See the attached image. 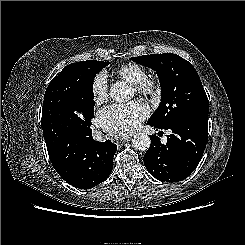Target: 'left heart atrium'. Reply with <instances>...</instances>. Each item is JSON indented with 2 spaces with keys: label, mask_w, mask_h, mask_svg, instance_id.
<instances>
[{
  "label": "left heart atrium",
  "mask_w": 245,
  "mask_h": 245,
  "mask_svg": "<svg viewBox=\"0 0 245 245\" xmlns=\"http://www.w3.org/2000/svg\"><path fill=\"white\" fill-rule=\"evenodd\" d=\"M147 106L135 100L127 104H114L99 113V121L113 135L126 136L132 133L147 117Z\"/></svg>",
  "instance_id": "39dd6f15"
}]
</instances>
